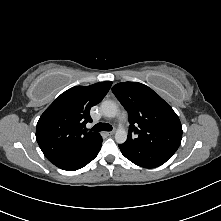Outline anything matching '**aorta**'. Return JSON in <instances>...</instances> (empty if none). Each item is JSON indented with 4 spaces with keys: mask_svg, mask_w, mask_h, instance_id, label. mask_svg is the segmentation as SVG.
Instances as JSON below:
<instances>
[{
    "mask_svg": "<svg viewBox=\"0 0 221 221\" xmlns=\"http://www.w3.org/2000/svg\"><path fill=\"white\" fill-rule=\"evenodd\" d=\"M102 114L106 117L113 118L117 114V106L113 101H103L100 106ZM115 140L117 143L122 144L127 140V132L123 127H119L115 133Z\"/></svg>",
    "mask_w": 221,
    "mask_h": 221,
    "instance_id": "1",
    "label": "aorta"
}]
</instances>
